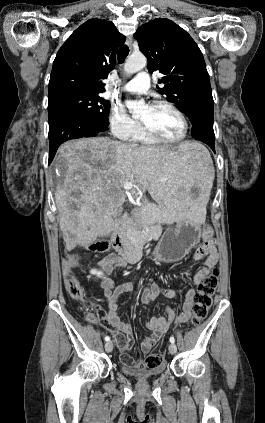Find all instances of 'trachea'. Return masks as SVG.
<instances>
[{
    "instance_id": "3493384b",
    "label": "trachea",
    "mask_w": 265,
    "mask_h": 423,
    "mask_svg": "<svg viewBox=\"0 0 265 423\" xmlns=\"http://www.w3.org/2000/svg\"><path fill=\"white\" fill-rule=\"evenodd\" d=\"M128 54H129L128 46L122 45L117 52V59H118L120 64H122L124 62V60L128 56Z\"/></svg>"
}]
</instances>
